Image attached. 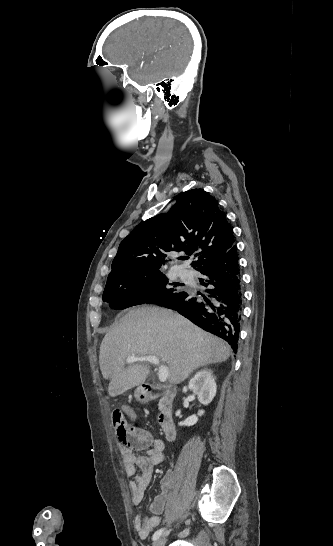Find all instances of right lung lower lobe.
Returning <instances> with one entry per match:
<instances>
[{"label":"right lung lower lobe","mask_w":333,"mask_h":546,"mask_svg":"<svg viewBox=\"0 0 333 546\" xmlns=\"http://www.w3.org/2000/svg\"><path fill=\"white\" fill-rule=\"evenodd\" d=\"M204 275L200 283L209 287L207 297L181 291L156 302L177 311L202 329L227 341L238 350L242 316V285L236 246L221 258L198 270Z\"/></svg>","instance_id":"98d812e1"}]
</instances>
